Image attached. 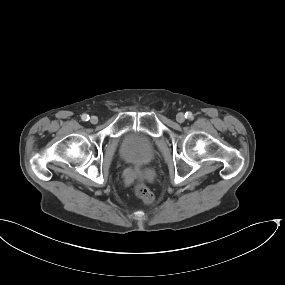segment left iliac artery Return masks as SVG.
Returning a JSON list of instances; mask_svg holds the SVG:
<instances>
[{
  "instance_id": "obj_1",
  "label": "left iliac artery",
  "mask_w": 285,
  "mask_h": 285,
  "mask_svg": "<svg viewBox=\"0 0 285 285\" xmlns=\"http://www.w3.org/2000/svg\"><path fill=\"white\" fill-rule=\"evenodd\" d=\"M185 118L188 120H191L193 118V114L191 112H186L185 113Z\"/></svg>"
}]
</instances>
